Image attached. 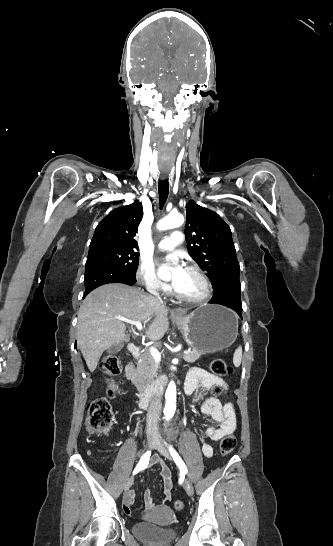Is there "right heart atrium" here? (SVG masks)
<instances>
[{
	"mask_svg": "<svg viewBox=\"0 0 333 546\" xmlns=\"http://www.w3.org/2000/svg\"><path fill=\"white\" fill-rule=\"evenodd\" d=\"M137 280L147 290L152 292H164L167 286L157 277L153 267L149 263H142L137 271Z\"/></svg>",
	"mask_w": 333,
	"mask_h": 546,
	"instance_id": "1",
	"label": "right heart atrium"
}]
</instances>
